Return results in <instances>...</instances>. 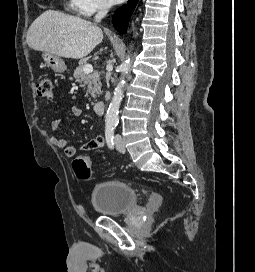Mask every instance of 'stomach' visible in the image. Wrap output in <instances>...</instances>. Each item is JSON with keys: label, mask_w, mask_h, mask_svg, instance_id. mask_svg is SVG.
<instances>
[{"label": "stomach", "mask_w": 255, "mask_h": 272, "mask_svg": "<svg viewBox=\"0 0 255 272\" xmlns=\"http://www.w3.org/2000/svg\"><path fill=\"white\" fill-rule=\"evenodd\" d=\"M42 58L47 67L52 69L54 72L62 73L66 70L65 62L61 57L49 52H44L42 54Z\"/></svg>", "instance_id": "0dacf381"}]
</instances>
